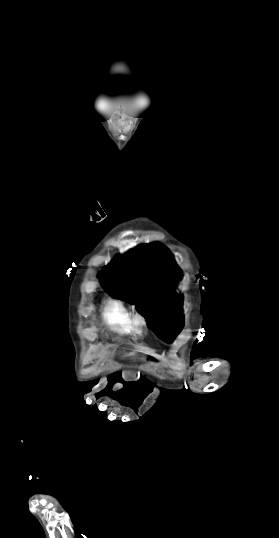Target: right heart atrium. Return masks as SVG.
<instances>
[{
  "instance_id": "1",
  "label": "right heart atrium",
  "mask_w": 279,
  "mask_h": 538,
  "mask_svg": "<svg viewBox=\"0 0 279 538\" xmlns=\"http://www.w3.org/2000/svg\"><path fill=\"white\" fill-rule=\"evenodd\" d=\"M136 237L139 238V237H140V234H136Z\"/></svg>"
}]
</instances>
